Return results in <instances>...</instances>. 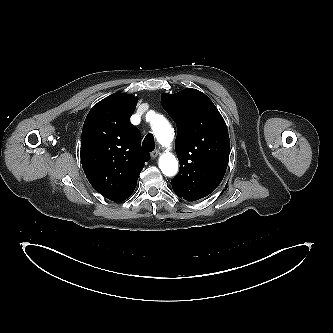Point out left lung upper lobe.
<instances>
[{
    "instance_id": "left-lung-upper-lobe-1",
    "label": "left lung upper lobe",
    "mask_w": 333,
    "mask_h": 333,
    "mask_svg": "<svg viewBox=\"0 0 333 333\" xmlns=\"http://www.w3.org/2000/svg\"><path fill=\"white\" fill-rule=\"evenodd\" d=\"M161 104L178 129L175 149L180 170L171 181L173 190L187 201L206 197L221 183L228 165L225 121L213 102L196 89L163 93Z\"/></svg>"
}]
</instances>
